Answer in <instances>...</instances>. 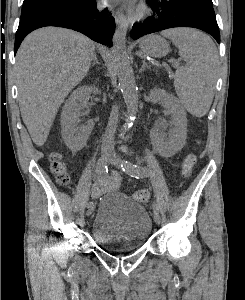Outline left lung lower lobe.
Masks as SVG:
<instances>
[{"label":"left lung lower lobe","mask_w":245,"mask_h":300,"mask_svg":"<svg viewBox=\"0 0 245 300\" xmlns=\"http://www.w3.org/2000/svg\"><path fill=\"white\" fill-rule=\"evenodd\" d=\"M153 15L143 23L133 25L131 37L141 36L174 27H192L212 35L220 43L219 27L213 5L198 0H146Z\"/></svg>","instance_id":"1"}]
</instances>
